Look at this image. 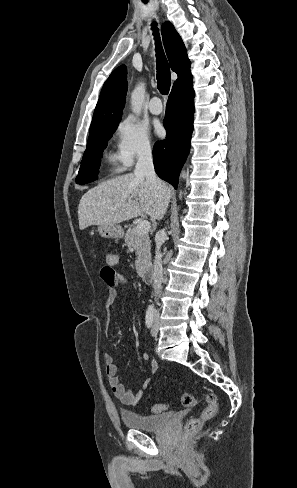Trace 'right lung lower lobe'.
<instances>
[{"label":"right lung lower lobe","instance_id":"1","mask_svg":"<svg viewBox=\"0 0 297 488\" xmlns=\"http://www.w3.org/2000/svg\"><path fill=\"white\" fill-rule=\"evenodd\" d=\"M194 96L192 78L173 85L164 118L166 139L156 142L153 147L156 173L175 189L190 149Z\"/></svg>","mask_w":297,"mask_h":488}]
</instances>
